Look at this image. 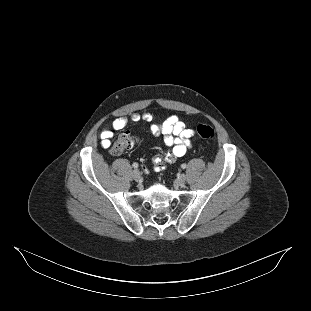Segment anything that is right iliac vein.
I'll return each instance as SVG.
<instances>
[{
	"label": "right iliac vein",
	"mask_w": 311,
	"mask_h": 311,
	"mask_svg": "<svg viewBox=\"0 0 311 311\" xmlns=\"http://www.w3.org/2000/svg\"><path fill=\"white\" fill-rule=\"evenodd\" d=\"M132 177L137 182L141 180V174H140V172L138 170H134L132 172Z\"/></svg>",
	"instance_id": "obj_1"
}]
</instances>
